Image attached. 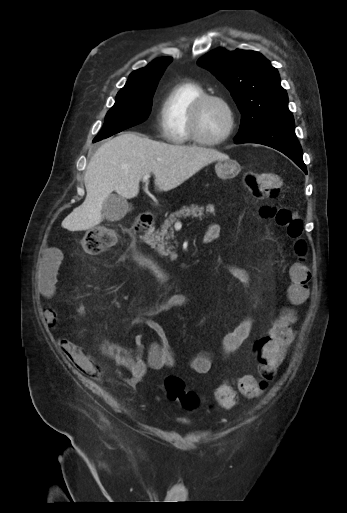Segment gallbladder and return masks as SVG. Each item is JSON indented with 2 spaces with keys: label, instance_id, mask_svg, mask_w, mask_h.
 <instances>
[{
  "label": "gallbladder",
  "instance_id": "gallbladder-1",
  "mask_svg": "<svg viewBox=\"0 0 347 513\" xmlns=\"http://www.w3.org/2000/svg\"><path fill=\"white\" fill-rule=\"evenodd\" d=\"M130 210L131 206L124 198L110 194L103 203L102 215L108 221H119Z\"/></svg>",
  "mask_w": 347,
  "mask_h": 513
}]
</instances>
